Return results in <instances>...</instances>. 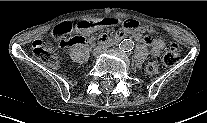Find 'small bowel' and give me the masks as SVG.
Segmentation results:
<instances>
[{"mask_svg":"<svg viewBox=\"0 0 207 123\" xmlns=\"http://www.w3.org/2000/svg\"><path fill=\"white\" fill-rule=\"evenodd\" d=\"M114 23L115 22L111 19L101 20L96 23L82 22L80 24V30L82 32L93 31V30H97L99 28H102V27H105L107 25H111ZM140 26H141V23L139 20L128 19L125 21L122 29H120L117 32L116 36L124 37L127 34H133V37L136 41H141V42H144V43L148 44L149 46H151L152 56L158 57L161 54V51L163 50V48L165 47L164 41L158 37L143 36L142 30L140 29ZM110 38L111 37H109L105 34L101 35V40H103V41H106Z\"/></svg>","mask_w":207,"mask_h":123,"instance_id":"obj_1","label":"small bowel"}]
</instances>
